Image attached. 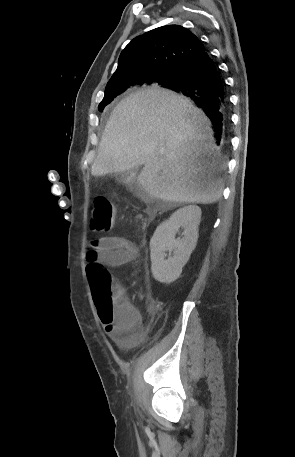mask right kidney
<instances>
[{
	"label": "right kidney",
	"mask_w": 295,
	"mask_h": 457,
	"mask_svg": "<svg viewBox=\"0 0 295 457\" xmlns=\"http://www.w3.org/2000/svg\"><path fill=\"white\" fill-rule=\"evenodd\" d=\"M201 209L195 205L182 207L162 222L150 240L151 270L153 277L161 283H171L181 274L197 244ZM180 239H175L179 229ZM166 251L173 256L165 259Z\"/></svg>",
	"instance_id": "1"
}]
</instances>
